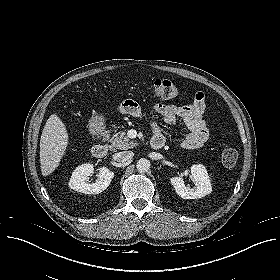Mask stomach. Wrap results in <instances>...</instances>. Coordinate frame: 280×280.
<instances>
[{
  "label": "stomach",
  "instance_id": "stomach-1",
  "mask_svg": "<svg viewBox=\"0 0 280 280\" xmlns=\"http://www.w3.org/2000/svg\"><path fill=\"white\" fill-rule=\"evenodd\" d=\"M99 123H100V120H99V119H96V120L94 119V120H93V125H94V124H99Z\"/></svg>",
  "mask_w": 280,
  "mask_h": 280
}]
</instances>
